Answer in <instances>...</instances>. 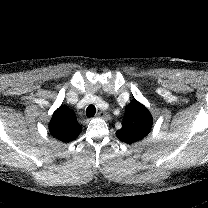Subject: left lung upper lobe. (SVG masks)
Instances as JSON below:
<instances>
[{
  "instance_id": "obj_1",
  "label": "left lung upper lobe",
  "mask_w": 208,
  "mask_h": 208,
  "mask_svg": "<svg viewBox=\"0 0 208 208\" xmlns=\"http://www.w3.org/2000/svg\"><path fill=\"white\" fill-rule=\"evenodd\" d=\"M153 119L148 109L137 100L126 108L122 128L116 131L119 140L132 144L144 138L151 130Z\"/></svg>"
}]
</instances>
